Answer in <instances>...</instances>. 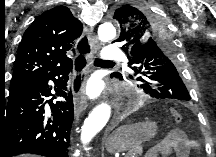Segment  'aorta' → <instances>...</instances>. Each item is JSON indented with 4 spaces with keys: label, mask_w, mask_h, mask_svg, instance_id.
Wrapping results in <instances>:
<instances>
[{
    "label": "aorta",
    "mask_w": 216,
    "mask_h": 157,
    "mask_svg": "<svg viewBox=\"0 0 216 157\" xmlns=\"http://www.w3.org/2000/svg\"><path fill=\"white\" fill-rule=\"evenodd\" d=\"M116 36V29L110 22L101 24L98 28V37L102 42H108ZM111 116V107L107 103H101L95 107L85 119L81 130V141L85 145L99 133L107 124Z\"/></svg>",
    "instance_id": "obj_1"
}]
</instances>
